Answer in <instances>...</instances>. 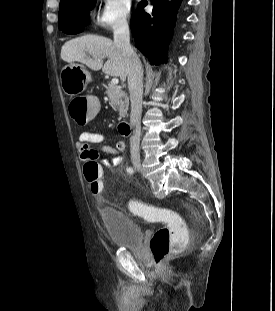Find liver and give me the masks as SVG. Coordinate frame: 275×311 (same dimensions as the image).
Here are the masks:
<instances>
[{
    "label": "liver",
    "mask_w": 275,
    "mask_h": 311,
    "mask_svg": "<svg viewBox=\"0 0 275 311\" xmlns=\"http://www.w3.org/2000/svg\"><path fill=\"white\" fill-rule=\"evenodd\" d=\"M104 57L107 61L103 64ZM61 58L68 63L80 62L94 71L102 69L123 82L128 75L126 55L106 37L89 34L69 40L62 46Z\"/></svg>",
    "instance_id": "1"
}]
</instances>
